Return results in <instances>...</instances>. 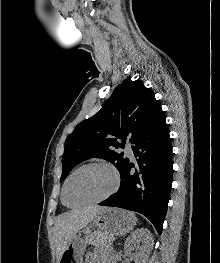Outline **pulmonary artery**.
<instances>
[{"instance_id": "obj_1", "label": "pulmonary artery", "mask_w": 220, "mask_h": 263, "mask_svg": "<svg viewBox=\"0 0 220 263\" xmlns=\"http://www.w3.org/2000/svg\"><path fill=\"white\" fill-rule=\"evenodd\" d=\"M126 151H127V154L129 155V157L134 158L133 150H132V147L129 143L126 145Z\"/></svg>"}]
</instances>
